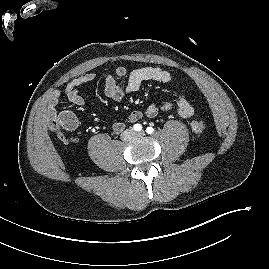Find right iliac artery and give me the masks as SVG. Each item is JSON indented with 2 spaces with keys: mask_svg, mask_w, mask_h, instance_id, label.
I'll use <instances>...</instances> for the list:
<instances>
[{
  "mask_svg": "<svg viewBox=\"0 0 269 269\" xmlns=\"http://www.w3.org/2000/svg\"><path fill=\"white\" fill-rule=\"evenodd\" d=\"M134 130L135 131H141L142 130V126L140 124H135L134 125Z\"/></svg>",
  "mask_w": 269,
  "mask_h": 269,
  "instance_id": "obj_1",
  "label": "right iliac artery"
}]
</instances>
